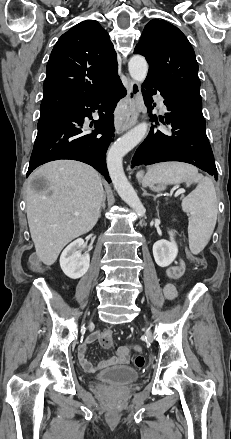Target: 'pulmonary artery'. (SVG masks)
<instances>
[{"mask_svg": "<svg viewBox=\"0 0 231 439\" xmlns=\"http://www.w3.org/2000/svg\"><path fill=\"white\" fill-rule=\"evenodd\" d=\"M158 102H159L160 108L164 111L165 105H164L163 99L161 97L158 98Z\"/></svg>", "mask_w": 231, "mask_h": 439, "instance_id": "1", "label": "pulmonary artery"}]
</instances>
